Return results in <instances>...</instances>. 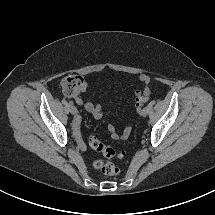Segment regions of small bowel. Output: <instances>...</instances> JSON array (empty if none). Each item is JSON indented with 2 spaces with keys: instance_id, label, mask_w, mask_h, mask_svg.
<instances>
[{
  "instance_id": "small-bowel-1",
  "label": "small bowel",
  "mask_w": 215,
  "mask_h": 215,
  "mask_svg": "<svg viewBox=\"0 0 215 215\" xmlns=\"http://www.w3.org/2000/svg\"><path fill=\"white\" fill-rule=\"evenodd\" d=\"M139 80L141 83L148 85L150 83V78L148 75L146 74H142L139 77ZM86 89V84L84 83L83 85V91ZM76 103L80 106H82L85 111H87L88 113L92 114L94 116V118L96 119H100L103 115L102 112V107L98 104H94L92 102H86L83 103V101L80 98H76L75 99ZM80 123V119L78 118L76 120V126L78 127ZM108 131L110 136L114 139V140H119V139H126L130 136L131 131H132V125L128 124L122 131L121 134H119L116 129L113 126H109L108 127Z\"/></svg>"
}]
</instances>
